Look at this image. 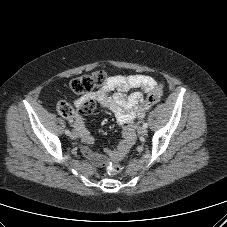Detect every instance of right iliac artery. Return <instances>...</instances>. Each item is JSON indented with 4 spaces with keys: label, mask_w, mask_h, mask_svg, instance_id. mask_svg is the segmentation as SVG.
Here are the masks:
<instances>
[{
    "label": "right iliac artery",
    "mask_w": 227,
    "mask_h": 227,
    "mask_svg": "<svg viewBox=\"0 0 227 227\" xmlns=\"http://www.w3.org/2000/svg\"><path fill=\"white\" fill-rule=\"evenodd\" d=\"M65 134L66 135H70V131L69 130H65Z\"/></svg>",
    "instance_id": "right-iliac-artery-1"
}]
</instances>
